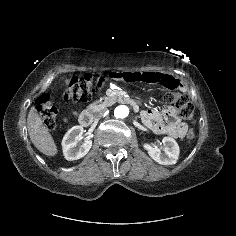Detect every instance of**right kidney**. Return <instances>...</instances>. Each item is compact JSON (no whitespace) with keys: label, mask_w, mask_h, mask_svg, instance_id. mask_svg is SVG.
Segmentation results:
<instances>
[{"label":"right kidney","mask_w":236,"mask_h":236,"mask_svg":"<svg viewBox=\"0 0 236 236\" xmlns=\"http://www.w3.org/2000/svg\"><path fill=\"white\" fill-rule=\"evenodd\" d=\"M84 129L82 126H74L69 129L62 140L63 155L66 160L73 161L84 157L92 147L91 140H85L81 146L77 147Z\"/></svg>","instance_id":"right-kidney-1"}]
</instances>
